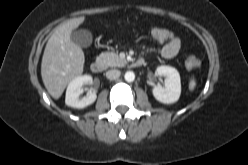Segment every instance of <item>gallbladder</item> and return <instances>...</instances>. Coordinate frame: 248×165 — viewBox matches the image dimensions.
Listing matches in <instances>:
<instances>
[{"mask_svg":"<svg viewBox=\"0 0 248 165\" xmlns=\"http://www.w3.org/2000/svg\"><path fill=\"white\" fill-rule=\"evenodd\" d=\"M71 39L80 47H89L92 43V34L88 30H78L71 34Z\"/></svg>","mask_w":248,"mask_h":165,"instance_id":"obj_1","label":"gallbladder"}]
</instances>
